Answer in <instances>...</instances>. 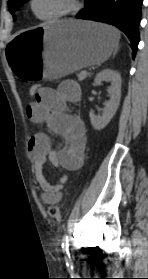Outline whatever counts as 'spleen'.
Masks as SVG:
<instances>
[{"label":"spleen","mask_w":148,"mask_h":279,"mask_svg":"<svg viewBox=\"0 0 148 279\" xmlns=\"http://www.w3.org/2000/svg\"><path fill=\"white\" fill-rule=\"evenodd\" d=\"M118 51V47L116 48V50H115V53Z\"/></svg>","instance_id":"1"}]
</instances>
